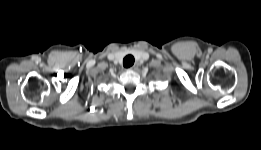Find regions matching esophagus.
<instances>
[{"label":"esophagus","mask_w":261,"mask_h":150,"mask_svg":"<svg viewBox=\"0 0 261 150\" xmlns=\"http://www.w3.org/2000/svg\"><path fill=\"white\" fill-rule=\"evenodd\" d=\"M136 68H137V65L134 64V65H132L129 69H130V70H135Z\"/></svg>","instance_id":"obj_1"}]
</instances>
